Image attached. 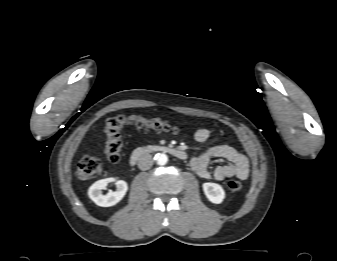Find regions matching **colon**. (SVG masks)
Masks as SVG:
<instances>
[{
  "label": "colon",
  "mask_w": 337,
  "mask_h": 261,
  "mask_svg": "<svg viewBox=\"0 0 337 261\" xmlns=\"http://www.w3.org/2000/svg\"><path fill=\"white\" fill-rule=\"evenodd\" d=\"M130 124L139 128L146 127L175 133L180 131V128L176 124L157 118L149 119L139 117L132 119L124 115L112 117L105 125L106 142L104 153L110 162L116 163L120 160L122 150L120 131L123 127ZM101 171L102 163L98 158L93 156H83L78 161L76 176L80 180H88L99 175ZM227 187L231 191H238L242 188V184L239 180L231 179L227 182Z\"/></svg>",
  "instance_id": "5ec220e1"
}]
</instances>
